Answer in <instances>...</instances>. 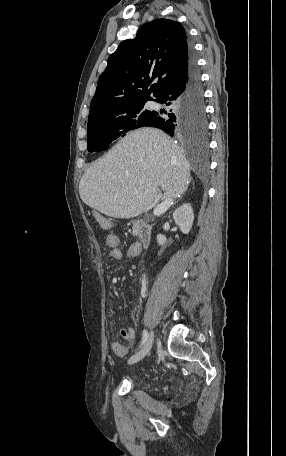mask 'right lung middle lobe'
Listing matches in <instances>:
<instances>
[{"label":"right lung middle lobe","instance_id":"right-lung-middle-lobe-1","mask_svg":"<svg viewBox=\"0 0 286 456\" xmlns=\"http://www.w3.org/2000/svg\"><path fill=\"white\" fill-rule=\"evenodd\" d=\"M147 100L109 107L88 120V151H102L130 130L146 126L156 111L147 110ZM192 131L205 132L204 126L193 125Z\"/></svg>","mask_w":286,"mask_h":456}]
</instances>
